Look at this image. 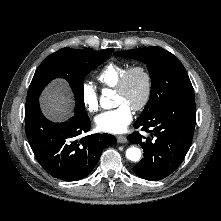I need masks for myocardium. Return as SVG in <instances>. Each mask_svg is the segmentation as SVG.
<instances>
[{
	"label": "myocardium",
	"instance_id": "f54148a6",
	"mask_svg": "<svg viewBox=\"0 0 221 221\" xmlns=\"http://www.w3.org/2000/svg\"><path fill=\"white\" fill-rule=\"evenodd\" d=\"M137 72L141 73L145 79V91L140 102L136 104L132 109L135 111H141L147 106L151 98L152 88H153L152 75L146 66L133 65L128 67L122 74L121 78L119 79L118 84L115 87V90L117 92H124L128 86L131 76Z\"/></svg>",
	"mask_w": 221,
	"mask_h": 221
}]
</instances>
